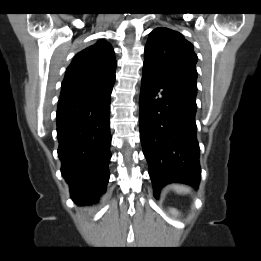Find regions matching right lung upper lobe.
Returning <instances> with one entry per match:
<instances>
[{"mask_svg": "<svg viewBox=\"0 0 261 261\" xmlns=\"http://www.w3.org/2000/svg\"><path fill=\"white\" fill-rule=\"evenodd\" d=\"M116 60L104 40L77 53L66 70L60 97L104 89L114 84Z\"/></svg>", "mask_w": 261, "mask_h": 261, "instance_id": "obj_1", "label": "right lung upper lobe"}]
</instances>
